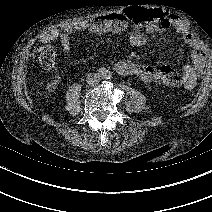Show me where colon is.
<instances>
[{
	"label": "colon",
	"mask_w": 212,
	"mask_h": 212,
	"mask_svg": "<svg viewBox=\"0 0 212 212\" xmlns=\"http://www.w3.org/2000/svg\"><path fill=\"white\" fill-rule=\"evenodd\" d=\"M49 51L50 50L48 49L41 48L35 52V57L41 63L51 67L54 65V61H53V58L48 53ZM158 77L163 83L170 84L176 79V72L172 67L168 65H163L159 68ZM191 85L192 84H189L187 86H191Z\"/></svg>",
	"instance_id": "1"
}]
</instances>
